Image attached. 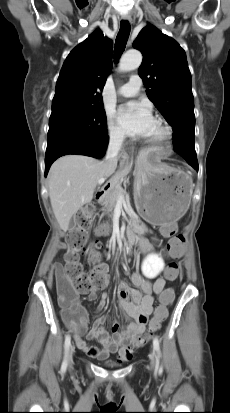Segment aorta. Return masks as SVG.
Instances as JSON below:
<instances>
[{
  "mask_svg": "<svg viewBox=\"0 0 230 413\" xmlns=\"http://www.w3.org/2000/svg\"><path fill=\"white\" fill-rule=\"evenodd\" d=\"M142 55L137 50L127 51L119 62V70L122 72L131 71L140 66Z\"/></svg>",
  "mask_w": 230,
  "mask_h": 413,
  "instance_id": "aorta-1",
  "label": "aorta"
}]
</instances>
